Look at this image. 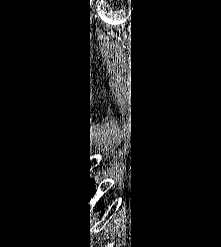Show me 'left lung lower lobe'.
<instances>
[{
  "instance_id": "1",
  "label": "left lung lower lobe",
  "mask_w": 221,
  "mask_h": 247,
  "mask_svg": "<svg viewBox=\"0 0 221 247\" xmlns=\"http://www.w3.org/2000/svg\"><path fill=\"white\" fill-rule=\"evenodd\" d=\"M69 195L86 219H102L104 213V195L100 172L90 168L88 162L81 163L76 170L69 188Z\"/></svg>"
}]
</instances>
